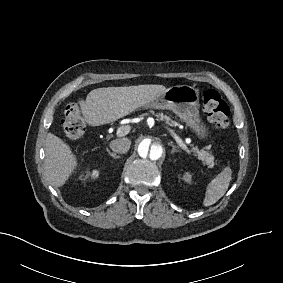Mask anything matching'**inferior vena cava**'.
Instances as JSON below:
<instances>
[{
  "instance_id": "inferior-vena-cava-1",
  "label": "inferior vena cava",
  "mask_w": 283,
  "mask_h": 283,
  "mask_svg": "<svg viewBox=\"0 0 283 283\" xmlns=\"http://www.w3.org/2000/svg\"><path fill=\"white\" fill-rule=\"evenodd\" d=\"M131 145V141L128 138H121L111 141L110 148L117 153H126Z\"/></svg>"
}]
</instances>
